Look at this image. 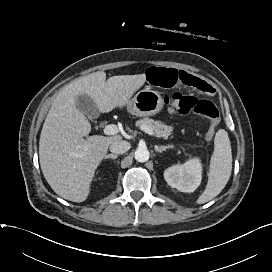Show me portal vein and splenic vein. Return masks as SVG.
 <instances>
[{
    "label": "portal vein and splenic vein",
    "mask_w": 272,
    "mask_h": 272,
    "mask_svg": "<svg viewBox=\"0 0 272 272\" xmlns=\"http://www.w3.org/2000/svg\"><path fill=\"white\" fill-rule=\"evenodd\" d=\"M141 130L146 132L147 134H149L151 136L155 135L154 132L150 128L146 127V126L141 127ZM103 131H104V134H106V135H115V134L118 133V127L116 125H114V124H109V125H106L104 127Z\"/></svg>",
    "instance_id": "obj_1"
}]
</instances>
